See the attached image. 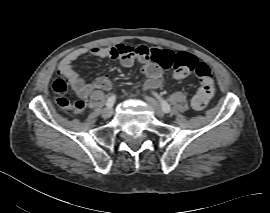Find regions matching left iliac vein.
Listing matches in <instances>:
<instances>
[{
  "instance_id": "1",
  "label": "left iliac vein",
  "mask_w": 270,
  "mask_h": 213,
  "mask_svg": "<svg viewBox=\"0 0 270 213\" xmlns=\"http://www.w3.org/2000/svg\"><path fill=\"white\" fill-rule=\"evenodd\" d=\"M145 99L153 107L156 115L158 117H160V118H163L164 117V111L162 110L160 104L154 98H151V97H147L146 96Z\"/></svg>"
}]
</instances>
